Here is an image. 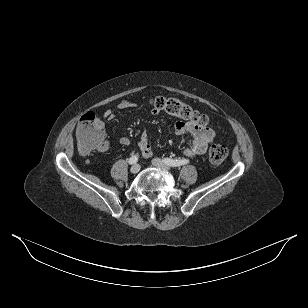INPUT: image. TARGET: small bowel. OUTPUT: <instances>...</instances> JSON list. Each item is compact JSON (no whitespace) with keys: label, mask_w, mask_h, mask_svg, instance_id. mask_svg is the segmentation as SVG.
Here are the masks:
<instances>
[{"label":"small bowel","mask_w":308,"mask_h":308,"mask_svg":"<svg viewBox=\"0 0 308 308\" xmlns=\"http://www.w3.org/2000/svg\"><path fill=\"white\" fill-rule=\"evenodd\" d=\"M118 109H130L135 108L136 104L129 100H123L118 104ZM156 113V111H153ZM103 117L106 120H113L115 118V113L108 109L104 112ZM103 129L104 123L99 119ZM174 133L176 135L189 134L192 137L191 145L184 150V155L188 158H193L206 153L208 146L215 141V133L209 127H203L191 122L178 121L174 125ZM120 144L122 146H127L130 144V138L124 136L120 139ZM110 143L107 139L103 138L101 146L97 149L101 152H105L109 149ZM139 150L144 158H149L152 155V147L148 140V135L146 130H142L138 140Z\"/></svg>","instance_id":"1"}]
</instances>
